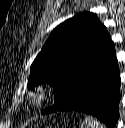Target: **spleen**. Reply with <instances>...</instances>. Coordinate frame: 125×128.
I'll return each instance as SVG.
<instances>
[{"label":"spleen","instance_id":"spleen-1","mask_svg":"<svg viewBox=\"0 0 125 128\" xmlns=\"http://www.w3.org/2000/svg\"><path fill=\"white\" fill-rule=\"evenodd\" d=\"M80 128H105V126L92 117H86Z\"/></svg>","mask_w":125,"mask_h":128}]
</instances>
